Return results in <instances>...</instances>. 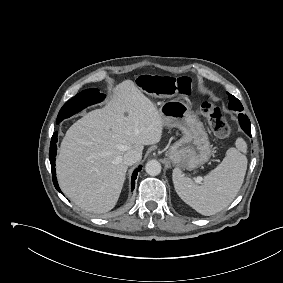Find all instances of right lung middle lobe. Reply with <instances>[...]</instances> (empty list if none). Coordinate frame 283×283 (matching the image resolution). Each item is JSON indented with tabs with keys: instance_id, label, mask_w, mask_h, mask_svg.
I'll use <instances>...</instances> for the list:
<instances>
[{
	"instance_id": "right-lung-middle-lobe-1",
	"label": "right lung middle lobe",
	"mask_w": 283,
	"mask_h": 283,
	"mask_svg": "<svg viewBox=\"0 0 283 283\" xmlns=\"http://www.w3.org/2000/svg\"><path fill=\"white\" fill-rule=\"evenodd\" d=\"M103 99L104 95L100 94L98 89L93 88L80 92L71 100L66 102L61 108L57 117V123L61 122L65 118L74 115L75 113L81 111L89 105L102 101Z\"/></svg>"
}]
</instances>
